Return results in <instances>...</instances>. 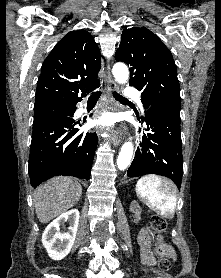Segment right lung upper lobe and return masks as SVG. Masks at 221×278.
I'll return each mask as SVG.
<instances>
[{
  "label": "right lung upper lobe",
  "instance_id": "obj_1",
  "mask_svg": "<svg viewBox=\"0 0 221 278\" xmlns=\"http://www.w3.org/2000/svg\"><path fill=\"white\" fill-rule=\"evenodd\" d=\"M101 55L85 30L66 34L44 61L36 88L35 105L76 100L97 88Z\"/></svg>",
  "mask_w": 221,
  "mask_h": 278
}]
</instances>
